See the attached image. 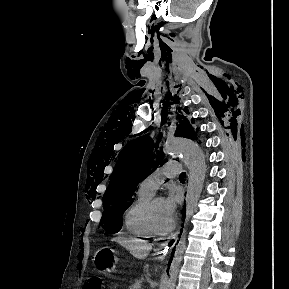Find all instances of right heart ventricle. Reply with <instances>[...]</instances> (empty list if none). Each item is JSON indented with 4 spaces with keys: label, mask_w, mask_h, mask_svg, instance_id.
<instances>
[{
    "label": "right heart ventricle",
    "mask_w": 289,
    "mask_h": 289,
    "mask_svg": "<svg viewBox=\"0 0 289 289\" xmlns=\"http://www.w3.org/2000/svg\"><path fill=\"white\" fill-rule=\"evenodd\" d=\"M152 196L153 194L138 189L134 201L124 214V224L129 234L141 238H150L154 235L145 220V208Z\"/></svg>",
    "instance_id": "e07e8e85"
}]
</instances>
